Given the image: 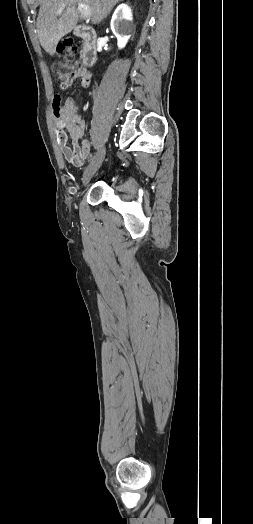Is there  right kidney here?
<instances>
[{"label":"right kidney","mask_w":253,"mask_h":524,"mask_svg":"<svg viewBox=\"0 0 253 524\" xmlns=\"http://www.w3.org/2000/svg\"><path fill=\"white\" fill-rule=\"evenodd\" d=\"M132 14L130 8L126 4L119 5L111 19V29L117 37V45L119 48H123L129 37L127 33V25L125 21H131Z\"/></svg>","instance_id":"right-kidney-1"}]
</instances>
